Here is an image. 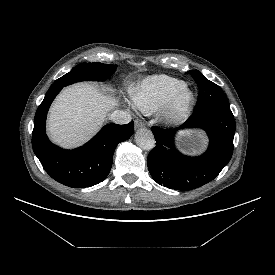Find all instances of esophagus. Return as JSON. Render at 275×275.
<instances>
[{
  "mask_svg": "<svg viewBox=\"0 0 275 275\" xmlns=\"http://www.w3.org/2000/svg\"><path fill=\"white\" fill-rule=\"evenodd\" d=\"M144 126H145L144 122H142L140 119L135 120V129H139V128H142Z\"/></svg>",
  "mask_w": 275,
  "mask_h": 275,
  "instance_id": "esophagus-1",
  "label": "esophagus"
}]
</instances>
